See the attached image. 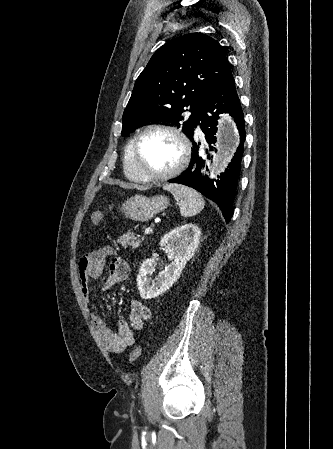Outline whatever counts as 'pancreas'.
<instances>
[{"label":"pancreas","instance_id":"obj_1","mask_svg":"<svg viewBox=\"0 0 333 449\" xmlns=\"http://www.w3.org/2000/svg\"><path fill=\"white\" fill-rule=\"evenodd\" d=\"M117 242L121 244L124 248L127 247L137 248L140 245L141 240L139 239V236L136 233L131 232L129 230L126 234L119 237Z\"/></svg>","mask_w":333,"mask_h":449}]
</instances>
